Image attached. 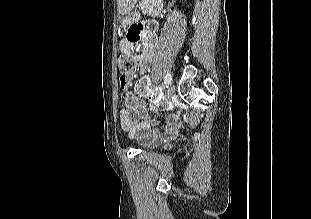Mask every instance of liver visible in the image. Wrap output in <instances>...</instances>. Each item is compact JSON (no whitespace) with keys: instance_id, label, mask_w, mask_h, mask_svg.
<instances>
[{"instance_id":"6515ba94","label":"liver","mask_w":311,"mask_h":219,"mask_svg":"<svg viewBox=\"0 0 311 219\" xmlns=\"http://www.w3.org/2000/svg\"><path fill=\"white\" fill-rule=\"evenodd\" d=\"M132 0H118V10L121 14H124L129 11L131 7Z\"/></svg>"}]
</instances>
